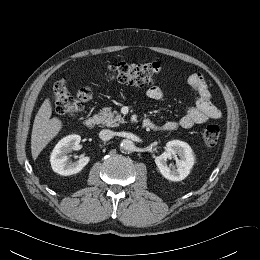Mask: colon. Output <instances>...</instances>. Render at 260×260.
Wrapping results in <instances>:
<instances>
[{"instance_id": "5ec220e1", "label": "colon", "mask_w": 260, "mask_h": 260, "mask_svg": "<svg viewBox=\"0 0 260 260\" xmlns=\"http://www.w3.org/2000/svg\"><path fill=\"white\" fill-rule=\"evenodd\" d=\"M109 70L113 79L143 86L149 84L159 73L160 65L158 63H117L111 65ZM90 98L91 90L89 88H81L76 96H73L65 79L58 80L54 84L52 101L56 112L59 114L77 115ZM220 136L221 128L217 124L208 125L203 133L204 141L209 146L216 145Z\"/></svg>"}]
</instances>
